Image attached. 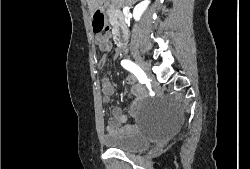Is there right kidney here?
Returning <instances> with one entry per match:
<instances>
[{"label": "right kidney", "mask_w": 250, "mask_h": 169, "mask_svg": "<svg viewBox=\"0 0 250 169\" xmlns=\"http://www.w3.org/2000/svg\"><path fill=\"white\" fill-rule=\"evenodd\" d=\"M150 0H141L139 4H136L135 8H133V16L135 20H140L144 10H146Z\"/></svg>", "instance_id": "1"}]
</instances>
